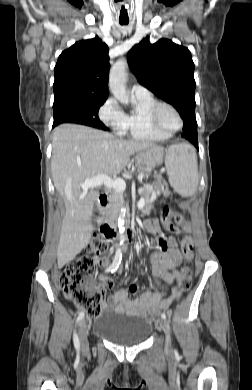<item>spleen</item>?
Returning <instances> with one entry per match:
<instances>
[{
	"label": "spleen",
	"mask_w": 252,
	"mask_h": 390,
	"mask_svg": "<svg viewBox=\"0 0 252 390\" xmlns=\"http://www.w3.org/2000/svg\"><path fill=\"white\" fill-rule=\"evenodd\" d=\"M171 187L181 196L190 197L198 187V165L195 150L188 144L172 145L165 157Z\"/></svg>",
	"instance_id": "spleen-1"
}]
</instances>
